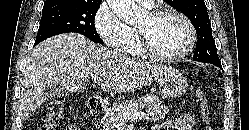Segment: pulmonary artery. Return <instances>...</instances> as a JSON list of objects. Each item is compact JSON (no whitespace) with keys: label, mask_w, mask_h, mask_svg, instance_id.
Listing matches in <instances>:
<instances>
[{"label":"pulmonary artery","mask_w":249,"mask_h":130,"mask_svg":"<svg viewBox=\"0 0 249 130\" xmlns=\"http://www.w3.org/2000/svg\"><path fill=\"white\" fill-rule=\"evenodd\" d=\"M136 1L148 7L153 5V0H136Z\"/></svg>","instance_id":"1"}]
</instances>
